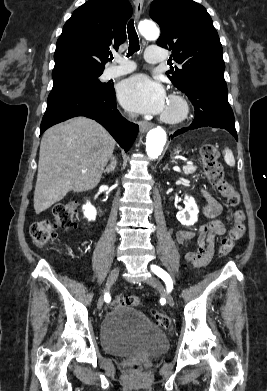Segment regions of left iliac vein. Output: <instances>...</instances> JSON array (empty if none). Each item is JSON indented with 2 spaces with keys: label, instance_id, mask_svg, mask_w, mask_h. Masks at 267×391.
<instances>
[{
  "label": "left iliac vein",
  "instance_id": "left-iliac-vein-1",
  "mask_svg": "<svg viewBox=\"0 0 267 391\" xmlns=\"http://www.w3.org/2000/svg\"><path fill=\"white\" fill-rule=\"evenodd\" d=\"M146 282L150 286H152V287L156 288L158 291H160V293L165 297L167 303L171 307H174L175 302H174L172 295L166 291V289L162 286L161 282L155 276H150L149 278H147Z\"/></svg>",
  "mask_w": 267,
  "mask_h": 391
}]
</instances>
